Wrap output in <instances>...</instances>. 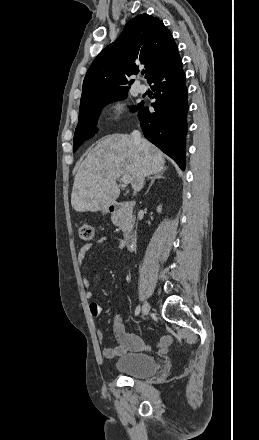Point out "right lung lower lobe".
Instances as JSON below:
<instances>
[{
  "label": "right lung lower lobe",
  "instance_id": "98d812e1",
  "mask_svg": "<svg viewBox=\"0 0 259 440\" xmlns=\"http://www.w3.org/2000/svg\"><path fill=\"white\" fill-rule=\"evenodd\" d=\"M185 79L178 54L148 81L155 91L153 97L156 101L151 104L155 112L151 113L147 107L138 111V119L146 139L174 159L182 170L185 168L188 111Z\"/></svg>",
  "mask_w": 259,
  "mask_h": 440
}]
</instances>
